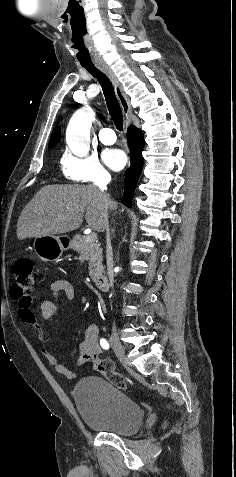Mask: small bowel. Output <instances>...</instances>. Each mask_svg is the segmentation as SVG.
Returning <instances> with one entry per match:
<instances>
[{
	"label": "small bowel",
	"instance_id": "c3829d8e",
	"mask_svg": "<svg viewBox=\"0 0 236 477\" xmlns=\"http://www.w3.org/2000/svg\"><path fill=\"white\" fill-rule=\"evenodd\" d=\"M49 291L52 295V299L43 300L39 305V315L44 321L50 319L58 311L59 297L61 294H63L68 301H71L75 296L73 284L65 278L54 279L49 285ZM18 315L27 325L35 329L42 339L44 338V335L40 330V326L31 308H18ZM98 337V325L95 323L88 324L84 331V339L78 346V355L74 360V366H79L87 362H95L96 359L101 357L102 346ZM42 353L45 360L55 369L58 374L63 375L67 379L76 378V373L71 368L60 363L50 349L43 347Z\"/></svg>",
	"mask_w": 236,
	"mask_h": 477
}]
</instances>
